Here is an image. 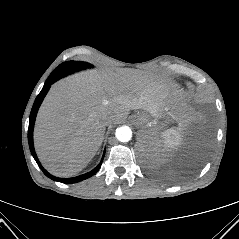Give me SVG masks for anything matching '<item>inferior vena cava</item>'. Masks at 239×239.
<instances>
[{
	"label": "inferior vena cava",
	"instance_id": "602c4592",
	"mask_svg": "<svg viewBox=\"0 0 239 239\" xmlns=\"http://www.w3.org/2000/svg\"><path fill=\"white\" fill-rule=\"evenodd\" d=\"M112 122H113V118H112V117H107V118L105 119L106 125H110Z\"/></svg>",
	"mask_w": 239,
	"mask_h": 239
}]
</instances>
